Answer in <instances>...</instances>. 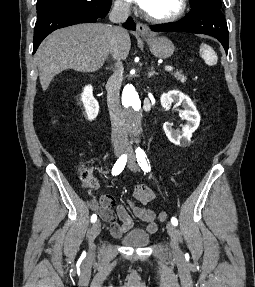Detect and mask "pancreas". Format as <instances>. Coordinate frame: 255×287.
Here are the masks:
<instances>
[{
  "mask_svg": "<svg viewBox=\"0 0 255 287\" xmlns=\"http://www.w3.org/2000/svg\"><path fill=\"white\" fill-rule=\"evenodd\" d=\"M172 76H174V78H176V80H180V82H182V84H184V82H186V80H187L186 76H184V74H182V72H175V74H172Z\"/></svg>",
  "mask_w": 255,
  "mask_h": 287,
  "instance_id": "cf45deb5",
  "label": "pancreas"
}]
</instances>
